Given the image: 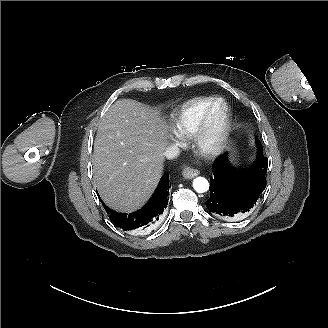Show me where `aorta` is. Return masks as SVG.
I'll return each instance as SVG.
<instances>
[{
  "mask_svg": "<svg viewBox=\"0 0 328 328\" xmlns=\"http://www.w3.org/2000/svg\"><path fill=\"white\" fill-rule=\"evenodd\" d=\"M193 188L198 193H204L209 189V182L204 177H197L193 180Z\"/></svg>",
  "mask_w": 328,
  "mask_h": 328,
  "instance_id": "obj_1",
  "label": "aorta"
}]
</instances>
